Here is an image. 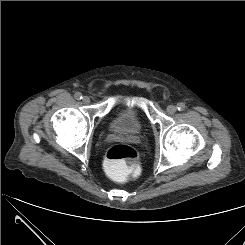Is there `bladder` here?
Masks as SVG:
<instances>
[{"mask_svg": "<svg viewBox=\"0 0 245 245\" xmlns=\"http://www.w3.org/2000/svg\"><path fill=\"white\" fill-rule=\"evenodd\" d=\"M110 127L113 130L137 132L142 128V123L130 108H125L113 118Z\"/></svg>", "mask_w": 245, "mask_h": 245, "instance_id": "obj_1", "label": "bladder"}]
</instances>
